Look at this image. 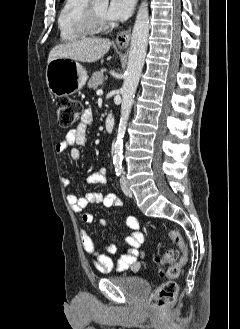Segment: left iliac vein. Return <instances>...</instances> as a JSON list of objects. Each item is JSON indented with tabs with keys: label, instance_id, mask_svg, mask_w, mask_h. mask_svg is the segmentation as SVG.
Segmentation results:
<instances>
[{
	"label": "left iliac vein",
	"instance_id": "obj_1",
	"mask_svg": "<svg viewBox=\"0 0 240 329\" xmlns=\"http://www.w3.org/2000/svg\"><path fill=\"white\" fill-rule=\"evenodd\" d=\"M120 183H121V188H122L123 193L126 196H131L132 192H131V190L129 188V185H128V182H127V180L124 176L121 177Z\"/></svg>",
	"mask_w": 240,
	"mask_h": 329
}]
</instances>
